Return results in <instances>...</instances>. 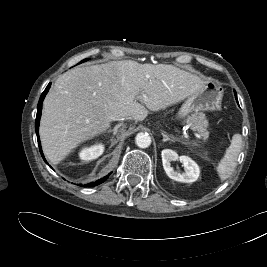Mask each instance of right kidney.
Wrapping results in <instances>:
<instances>
[{"label": "right kidney", "mask_w": 267, "mask_h": 267, "mask_svg": "<svg viewBox=\"0 0 267 267\" xmlns=\"http://www.w3.org/2000/svg\"><path fill=\"white\" fill-rule=\"evenodd\" d=\"M103 151H104V145L102 143H98L91 147L83 148L80 151L79 156L82 160L90 161L101 156Z\"/></svg>", "instance_id": "obj_1"}]
</instances>
